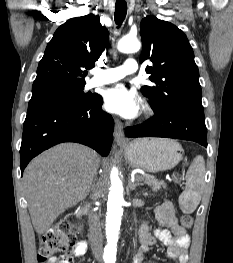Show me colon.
Returning a JSON list of instances; mask_svg holds the SVG:
<instances>
[{
  "label": "colon",
  "instance_id": "colon-1",
  "mask_svg": "<svg viewBox=\"0 0 233 263\" xmlns=\"http://www.w3.org/2000/svg\"><path fill=\"white\" fill-rule=\"evenodd\" d=\"M180 225L188 229L192 225L189 215L180 217ZM77 244L70 221H61L56 228L47 231L40 240L38 260L40 263H57L69 256Z\"/></svg>",
  "mask_w": 233,
  "mask_h": 263
}]
</instances>
